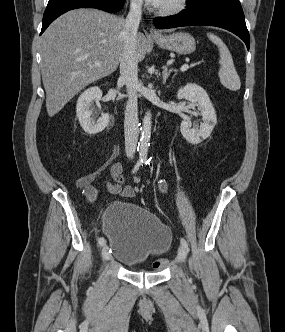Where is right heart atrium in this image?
<instances>
[{
  "mask_svg": "<svg viewBox=\"0 0 285 332\" xmlns=\"http://www.w3.org/2000/svg\"><path fill=\"white\" fill-rule=\"evenodd\" d=\"M130 3L134 8H140L142 6V0H130Z\"/></svg>",
  "mask_w": 285,
  "mask_h": 332,
  "instance_id": "right-heart-atrium-1",
  "label": "right heart atrium"
}]
</instances>
